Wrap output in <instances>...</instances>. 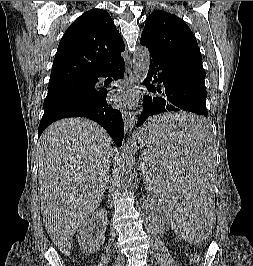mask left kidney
Returning a JSON list of instances; mask_svg holds the SVG:
<instances>
[{
	"label": "left kidney",
	"instance_id": "left-kidney-1",
	"mask_svg": "<svg viewBox=\"0 0 253 266\" xmlns=\"http://www.w3.org/2000/svg\"><path fill=\"white\" fill-rule=\"evenodd\" d=\"M171 226H173V222H170Z\"/></svg>",
	"mask_w": 253,
	"mask_h": 266
}]
</instances>
